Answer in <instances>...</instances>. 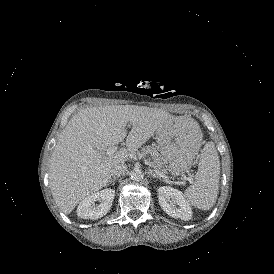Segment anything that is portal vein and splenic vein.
Returning a JSON list of instances; mask_svg holds the SVG:
<instances>
[{
    "label": "portal vein and splenic vein",
    "instance_id": "portal-vein-and-splenic-vein-1",
    "mask_svg": "<svg viewBox=\"0 0 274 274\" xmlns=\"http://www.w3.org/2000/svg\"><path fill=\"white\" fill-rule=\"evenodd\" d=\"M116 150H117V147H116V146L109 147V148L107 149V154L114 153ZM156 173H157L160 177H165V175H164L162 172H159V171L156 170ZM187 180H188L189 182H192V178H190V177L187 178Z\"/></svg>",
    "mask_w": 274,
    "mask_h": 274
}]
</instances>
